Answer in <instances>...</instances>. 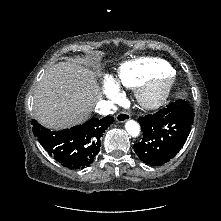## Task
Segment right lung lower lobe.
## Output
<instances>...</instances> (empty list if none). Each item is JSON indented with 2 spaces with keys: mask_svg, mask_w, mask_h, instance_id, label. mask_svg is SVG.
Listing matches in <instances>:
<instances>
[{
  "mask_svg": "<svg viewBox=\"0 0 221 221\" xmlns=\"http://www.w3.org/2000/svg\"><path fill=\"white\" fill-rule=\"evenodd\" d=\"M111 116L92 118L82 125L61 131H50L32 121L33 133L43 148L62 166L82 169L89 166L100 150L104 131L112 124Z\"/></svg>",
  "mask_w": 221,
  "mask_h": 221,
  "instance_id": "98d812e1",
  "label": "right lung lower lobe"
}]
</instances>
